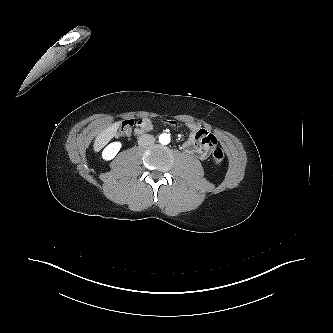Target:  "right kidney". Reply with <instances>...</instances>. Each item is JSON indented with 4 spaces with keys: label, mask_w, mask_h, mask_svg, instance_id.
<instances>
[{
    "label": "right kidney",
    "mask_w": 333,
    "mask_h": 333,
    "mask_svg": "<svg viewBox=\"0 0 333 333\" xmlns=\"http://www.w3.org/2000/svg\"><path fill=\"white\" fill-rule=\"evenodd\" d=\"M121 146L122 145L120 142L110 143L102 151V158L107 161L113 159L116 156V154L119 152Z\"/></svg>",
    "instance_id": "1"
}]
</instances>
